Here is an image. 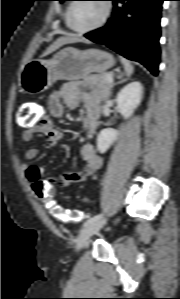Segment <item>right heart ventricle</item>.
<instances>
[{
  "instance_id": "e07e8e85",
  "label": "right heart ventricle",
  "mask_w": 180,
  "mask_h": 299,
  "mask_svg": "<svg viewBox=\"0 0 180 299\" xmlns=\"http://www.w3.org/2000/svg\"><path fill=\"white\" fill-rule=\"evenodd\" d=\"M68 8H69V5L66 7V9L64 11V21H65L66 25H67V12H68Z\"/></svg>"
}]
</instances>
